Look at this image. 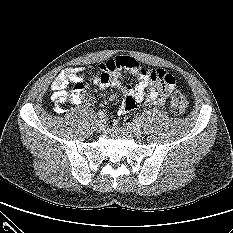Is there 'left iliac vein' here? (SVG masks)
<instances>
[{
  "instance_id": "1",
  "label": "left iliac vein",
  "mask_w": 233,
  "mask_h": 233,
  "mask_svg": "<svg viewBox=\"0 0 233 233\" xmlns=\"http://www.w3.org/2000/svg\"><path fill=\"white\" fill-rule=\"evenodd\" d=\"M127 128L135 137H139L142 134L141 127L137 123L129 122L127 124Z\"/></svg>"
}]
</instances>
